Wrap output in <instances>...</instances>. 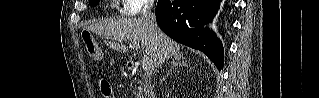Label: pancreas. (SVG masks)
Segmentation results:
<instances>
[{"mask_svg":"<svg viewBox=\"0 0 319 98\" xmlns=\"http://www.w3.org/2000/svg\"><path fill=\"white\" fill-rule=\"evenodd\" d=\"M153 91V85L150 81V76L147 74H140L138 80V87L135 89V96L137 98H144L149 96Z\"/></svg>","mask_w":319,"mask_h":98,"instance_id":"cf45deb5","label":"pancreas"}]
</instances>
